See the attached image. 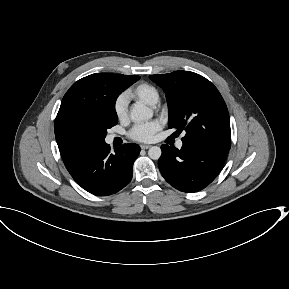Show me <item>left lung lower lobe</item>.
I'll return each mask as SVG.
<instances>
[{
  "instance_id": "1",
  "label": "left lung lower lobe",
  "mask_w": 289,
  "mask_h": 289,
  "mask_svg": "<svg viewBox=\"0 0 289 289\" xmlns=\"http://www.w3.org/2000/svg\"><path fill=\"white\" fill-rule=\"evenodd\" d=\"M182 142L180 150L163 144L158 166L162 176L174 188L194 193L216 178L229 150L193 141Z\"/></svg>"
}]
</instances>
